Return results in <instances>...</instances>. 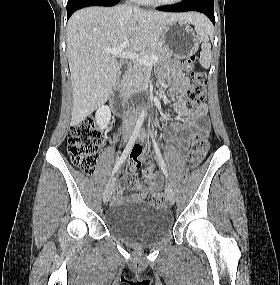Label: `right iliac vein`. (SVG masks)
I'll list each match as a JSON object with an SVG mask.
<instances>
[{"label":"right iliac vein","mask_w":280,"mask_h":285,"mask_svg":"<svg viewBox=\"0 0 280 285\" xmlns=\"http://www.w3.org/2000/svg\"><path fill=\"white\" fill-rule=\"evenodd\" d=\"M129 137H130V133H125L123 136L124 141L126 142L129 139ZM115 180H116L115 178H112L106 186V189L103 195L104 203H107L109 199L111 198V195L113 193L114 186H115Z\"/></svg>","instance_id":"1"}]
</instances>
